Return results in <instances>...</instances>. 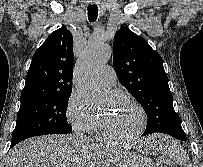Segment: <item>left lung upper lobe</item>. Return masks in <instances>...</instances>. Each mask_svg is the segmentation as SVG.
<instances>
[{
	"label": "left lung upper lobe",
	"mask_w": 203,
	"mask_h": 167,
	"mask_svg": "<svg viewBox=\"0 0 203 167\" xmlns=\"http://www.w3.org/2000/svg\"><path fill=\"white\" fill-rule=\"evenodd\" d=\"M113 66L122 85L147 114L144 135L158 132L185 135L173 107L163 60L144 38L121 27L114 38Z\"/></svg>",
	"instance_id": "left-lung-upper-lobe-1"
}]
</instances>
